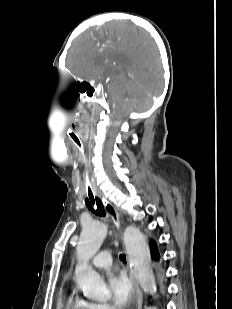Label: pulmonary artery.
I'll use <instances>...</instances> for the list:
<instances>
[{
    "label": "pulmonary artery",
    "mask_w": 232,
    "mask_h": 309,
    "mask_svg": "<svg viewBox=\"0 0 232 309\" xmlns=\"http://www.w3.org/2000/svg\"><path fill=\"white\" fill-rule=\"evenodd\" d=\"M93 265L97 268H106L111 265V252L110 251H105L98 255L94 260H93Z\"/></svg>",
    "instance_id": "pulmonary-artery-1"
}]
</instances>
